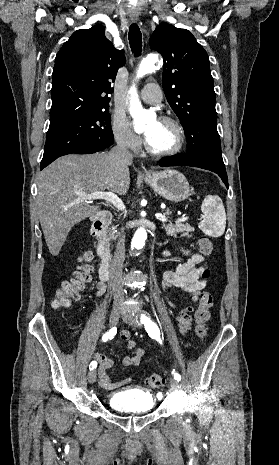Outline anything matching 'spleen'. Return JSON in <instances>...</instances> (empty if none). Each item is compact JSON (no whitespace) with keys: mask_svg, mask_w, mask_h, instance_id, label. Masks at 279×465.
I'll return each instance as SVG.
<instances>
[{"mask_svg":"<svg viewBox=\"0 0 279 465\" xmlns=\"http://www.w3.org/2000/svg\"><path fill=\"white\" fill-rule=\"evenodd\" d=\"M203 220L199 228L212 237L223 235L226 226V213L222 200L218 196H207L201 205Z\"/></svg>","mask_w":279,"mask_h":465,"instance_id":"1","label":"spleen"}]
</instances>
